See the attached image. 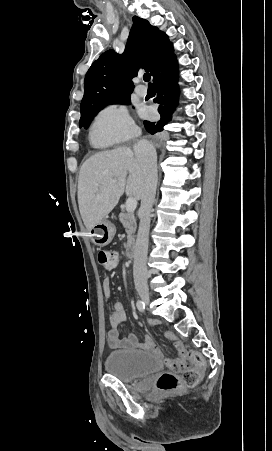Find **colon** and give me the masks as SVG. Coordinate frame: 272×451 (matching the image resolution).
<instances>
[{
	"label": "colon",
	"mask_w": 272,
	"mask_h": 451,
	"mask_svg": "<svg viewBox=\"0 0 272 451\" xmlns=\"http://www.w3.org/2000/svg\"><path fill=\"white\" fill-rule=\"evenodd\" d=\"M97 260L102 267H110L118 264L119 255L115 252L100 251ZM167 367L171 371H165L156 380V387L163 392H171L179 389L181 384L190 387L199 379L198 374L204 373V358H195L193 352H181L176 358H167ZM182 374V378H179Z\"/></svg>",
	"instance_id": "1"
}]
</instances>
